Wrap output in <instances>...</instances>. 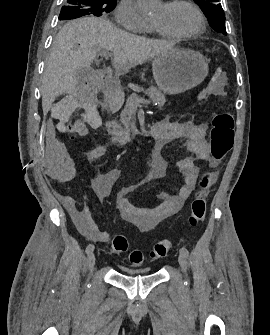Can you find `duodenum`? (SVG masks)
I'll list each match as a JSON object with an SVG mask.
<instances>
[{"label":"duodenum","mask_w":270,"mask_h":335,"mask_svg":"<svg viewBox=\"0 0 270 335\" xmlns=\"http://www.w3.org/2000/svg\"><path fill=\"white\" fill-rule=\"evenodd\" d=\"M103 92L105 95V108L110 112L118 111L123 104V93L120 88L112 81H105L103 85ZM146 135L155 138L157 135V126L153 124Z\"/></svg>","instance_id":"410a0bca"}]
</instances>
